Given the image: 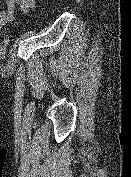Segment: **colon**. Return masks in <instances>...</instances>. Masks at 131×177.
<instances>
[{
	"label": "colon",
	"instance_id": "obj_1",
	"mask_svg": "<svg viewBox=\"0 0 131 177\" xmlns=\"http://www.w3.org/2000/svg\"><path fill=\"white\" fill-rule=\"evenodd\" d=\"M13 39H14V35L12 32H10L7 33L2 39V41L0 42V60H2L5 57L8 47L10 46Z\"/></svg>",
	"mask_w": 131,
	"mask_h": 177
}]
</instances>
